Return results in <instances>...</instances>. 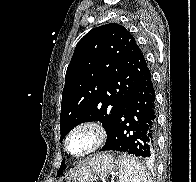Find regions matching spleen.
Here are the masks:
<instances>
[{
    "mask_svg": "<svg viewBox=\"0 0 196 182\" xmlns=\"http://www.w3.org/2000/svg\"><path fill=\"white\" fill-rule=\"evenodd\" d=\"M119 182H152L149 173L134 157L119 155Z\"/></svg>",
    "mask_w": 196,
    "mask_h": 182,
    "instance_id": "spleen-1",
    "label": "spleen"
}]
</instances>
